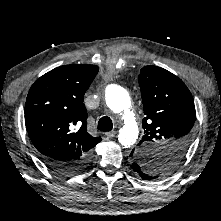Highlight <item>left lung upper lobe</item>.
Instances as JSON below:
<instances>
[{
  "instance_id": "left-lung-upper-lobe-1",
  "label": "left lung upper lobe",
  "mask_w": 221,
  "mask_h": 221,
  "mask_svg": "<svg viewBox=\"0 0 221 221\" xmlns=\"http://www.w3.org/2000/svg\"><path fill=\"white\" fill-rule=\"evenodd\" d=\"M138 80L145 117L136 154L137 161L146 166V180H152L172 171L185 157L196 112L189 89L171 72L145 66Z\"/></svg>"
}]
</instances>
